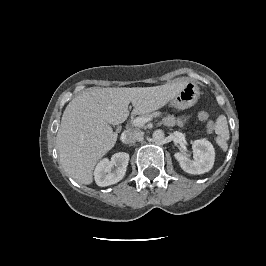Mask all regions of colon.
<instances>
[{
    "label": "colon",
    "mask_w": 266,
    "mask_h": 266,
    "mask_svg": "<svg viewBox=\"0 0 266 266\" xmlns=\"http://www.w3.org/2000/svg\"><path fill=\"white\" fill-rule=\"evenodd\" d=\"M198 118H199V120H201V121H207L208 118H209V115H208L207 112H205V111H201V112H199V114H198ZM213 129H214V124H213L212 122H208V123H207V130H208L209 132H211V131H213Z\"/></svg>",
    "instance_id": "colon-1"
}]
</instances>
